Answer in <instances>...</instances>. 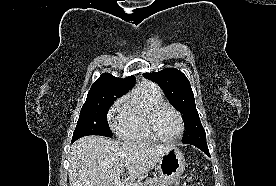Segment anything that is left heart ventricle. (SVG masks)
Returning <instances> with one entry per match:
<instances>
[{
	"label": "left heart ventricle",
	"mask_w": 276,
	"mask_h": 186,
	"mask_svg": "<svg viewBox=\"0 0 276 186\" xmlns=\"http://www.w3.org/2000/svg\"><path fill=\"white\" fill-rule=\"evenodd\" d=\"M178 116L169 108H163L156 117V129L165 138H173L180 131Z\"/></svg>",
	"instance_id": "obj_1"
}]
</instances>
